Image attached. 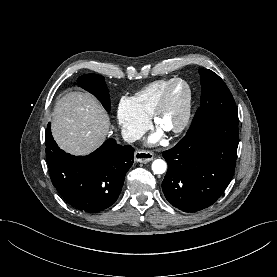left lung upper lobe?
<instances>
[{"label": "left lung upper lobe", "mask_w": 277, "mask_h": 277, "mask_svg": "<svg viewBox=\"0 0 277 277\" xmlns=\"http://www.w3.org/2000/svg\"><path fill=\"white\" fill-rule=\"evenodd\" d=\"M199 74L201 105L187 133L215 122L238 125L236 104L224 81L209 69H199Z\"/></svg>", "instance_id": "left-lung-upper-lobe-1"}]
</instances>
